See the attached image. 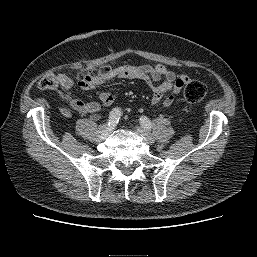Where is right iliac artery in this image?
Instances as JSON below:
<instances>
[{
    "label": "right iliac artery",
    "instance_id": "right-iliac-artery-1",
    "mask_svg": "<svg viewBox=\"0 0 257 257\" xmlns=\"http://www.w3.org/2000/svg\"><path fill=\"white\" fill-rule=\"evenodd\" d=\"M120 116H121V111L119 108H114L111 112H110V115H109V119H108V126L110 128L114 127L119 119H120Z\"/></svg>",
    "mask_w": 257,
    "mask_h": 257
}]
</instances>
